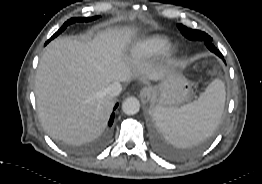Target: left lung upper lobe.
Instances as JSON below:
<instances>
[{"instance_id":"1","label":"left lung upper lobe","mask_w":262,"mask_h":184,"mask_svg":"<svg viewBox=\"0 0 262 184\" xmlns=\"http://www.w3.org/2000/svg\"><path fill=\"white\" fill-rule=\"evenodd\" d=\"M177 27L181 33L190 40H199V41H212V38L205 32L187 28L184 25L178 24Z\"/></svg>"}]
</instances>
